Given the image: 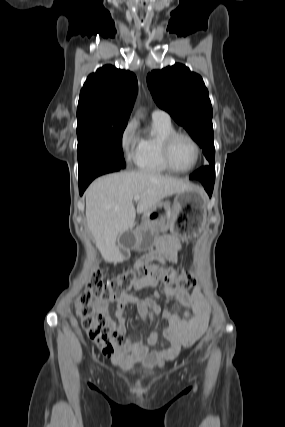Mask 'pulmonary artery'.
<instances>
[{"label": "pulmonary artery", "instance_id": "1", "mask_svg": "<svg viewBox=\"0 0 285 427\" xmlns=\"http://www.w3.org/2000/svg\"><path fill=\"white\" fill-rule=\"evenodd\" d=\"M152 118L162 119V120H171L170 115L162 109H154L152 111Z\"/></svg>", "mask_w": 285, "mask_h": 427}]
</instances>
